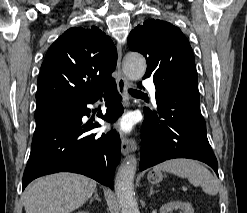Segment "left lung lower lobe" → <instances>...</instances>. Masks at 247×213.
Segmentation results:
<instances>
[{
    "mask_svg": "<svg viewBox=\"0 0 247 213\" xmlns=\"http://www.w3.org/2000/svg\"><path fill=\"white\" fill-rule=\"evenodd\" d=\"M156 104L157 111H144L139 170L173 158H190L208 164L218 175L199 102L161 95L156 96Z\"/></svg>",
    "mask_w": 247,
    "mask_h": 213,
    "instance_id": "1",
    "label": "left lung lower lobe"
}]
</instances>
